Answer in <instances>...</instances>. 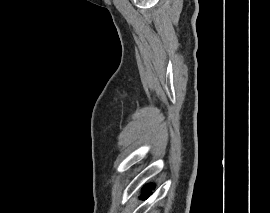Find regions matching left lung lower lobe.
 I'll use <instances>...</instances> for the list:
<instances>
[{
    "mask_svg": "<svg viewBox=\"0 0 270 213\" xmlns=\"http://www.w3.org/2000/svg\"><path fill=\"white\" fill-rule=\"evenodd\" d=\"M153 189H154V185H148V187H146L143 191L145 194H147L148 192H150ZM141 198L145 199V197H141Z\"/></svg>",
    "mask_w": 270,
    "mask_h": 213,
    "instance_id": "0a47b994",
    "label": "left lung lower lobe"
}]
</instances>
